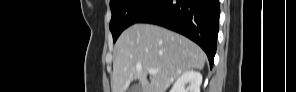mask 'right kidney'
<instances>
[{
    "label": "right kidney",
    "mask_w": 296,
    "mask_h": 92,
    "mask_svg": "<svg viewBox=\"0 0 296 92\" xmlns=\"http://www.w3.org/2000/svg\"><path fill=\"white\" fill-rule=\"evenodd\" d=\"M189 85L185 89L186 85ZM202 75L198 71L189 70L184 72L174 83L170 92H200Z\"/></svg>",
    "instance_id": "ca27d5eb"
}]
</instances>
